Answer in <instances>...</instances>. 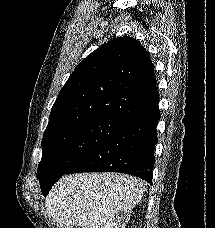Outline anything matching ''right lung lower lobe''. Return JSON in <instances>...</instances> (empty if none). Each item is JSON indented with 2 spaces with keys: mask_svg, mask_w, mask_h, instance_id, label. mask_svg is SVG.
I'll return each instance as SVG.
<instances>
[{
  "mask_svg": "<svg viewBox=\"0 0 215 228\" xmlns=\"http://www.w3.org/2000/svg\"><path fill=\"white\" fill-rule=\"evenodd\" d=\"M158 106L141 117L126 122L65 174L78 172H121L152 184L157 143Z\"/></svg>",
  "mask_w": 215,
  "mask_h": 228,
  "instance_id": "right-lung-lower-lobe-1",
  "label": "right lung lower lobe"
}]
</instances>
